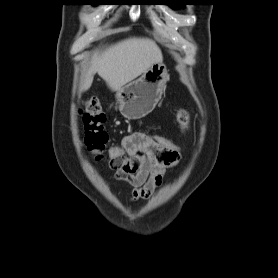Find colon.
<instances>
[{"instance_id":"colon-1","label":"colon","mask_w":278,"mask_h":278,"mask_svg":"<svg viewBox=\"0 0 278 278\" xmlns=\"http://www.w3.org/2000/svg\"><path fill=\"white\" fill-rule=\"evenodd\" d=\"M85 129V143L88 150L93 153L97 159L104 156L108 142V134L104 129L106 115L103 112L99 102L95 98L88 99L80 111ZM178 120L183 129H186L189 122L187 111L181 110L178 113ZM154 140L167 152L181 155V146L176 141L165 136L155 135ZM123 155L121 145L110 147L107 151L109 160L120 158Z\"/></svg>"}]
</instances>
